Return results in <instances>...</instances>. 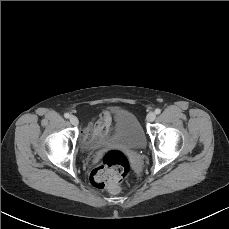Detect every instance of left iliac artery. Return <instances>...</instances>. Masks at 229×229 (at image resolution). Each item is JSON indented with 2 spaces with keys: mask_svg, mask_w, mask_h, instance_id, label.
I'll return each instance as SVG.
<instances>
[{
  "mask_svg": "<svg viewBox=\"0 0 229 229\" xmlns=\"http://www.w3.org/2000/svg\"><path fill=\"white\" fill-rule=\"evenodd\" d=\"M155 113L156 114H160L161 113V110L159 108L155 109Z\"/></svg>",
  "mask_w": 229,
  "mask_h": 229,
  "instance_id": "obj_1",
  "label": "left iliac artery"
}]
</instances>
